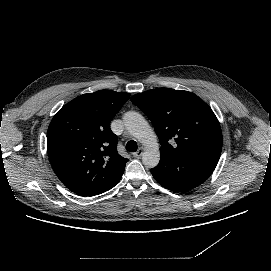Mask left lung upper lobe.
Instances as JSON below:
<instances>
[{"instance_id":"1","label":"left lung upper lobe","mask_w":271,"mask_h":271,"mask_svg":"<svg viewBox=\"0 0 271 271\" xmlns=\"http://www.w3.org/2000/svg\"><path fill=\"white\" fill-rule=\"evenodd\" d=\"M131 102L151 120L160 151L218 161L222 131L214 112L197 95L170 88L135 94Z\"/></svg>"}]
</instances>
